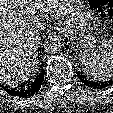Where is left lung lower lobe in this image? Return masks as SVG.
I'll return each mask as SVG.
<instances>
[{"label": "left lung lower lobe", "instance_id": "left-lung-lower-lobe-1", "mask_svg": "<svg viewBox=\"0 0 113 113\" xmlns=\"http://www.w3.org/2000/svg\"><path fill=\"white\" fill-rule=\"evenodd\" d=\"M77 76L84 83V85L93 89L105 88L113 83L111 80L106 82H94L92 80H88L85 76L80 75L79 73H77Z\"/></svg>", "mask_w": 113, "mask_h": 113}]
</instances>
